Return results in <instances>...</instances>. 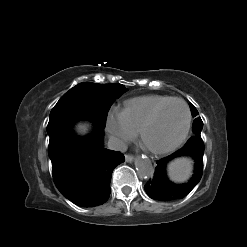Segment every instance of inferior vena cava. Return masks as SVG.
<instances>
[{
    "label": "inferior vena cava",
    "instance_id": "1",
    "mask_svg": "<svg viewBox=\"0 0 247 247\" xmlns=\"http://www.w3.org/2000/svg\"><path fill=\"white\" fill-rule=\"evenodd\" d=\"M108 149L125 152L127 150V144L117 137H110L108 140Z\"/></svg>",
    "mask_w": 247,
    "mask_h": 247
}]
</instances>
